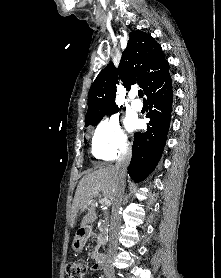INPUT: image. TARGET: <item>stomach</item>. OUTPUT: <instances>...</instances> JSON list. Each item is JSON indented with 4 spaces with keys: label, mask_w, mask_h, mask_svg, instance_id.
Here are the masks:
<instances>
[{
    "label": "stomach",
    "mask_w": 221,
    "mask_h": 278,
    "mask_svg": "<svg viewBox=\"0 0 221 278\" xmlns=\"http://www.w3.org/2000/svg\"><path fill=\"white\" fill-rule=\"evenodd\" d=\"M87 241V236L76 234L72 242V248L75 252H80Z\"/></svg>",
    "instance_id": "obj_1"
}]
</instances>
